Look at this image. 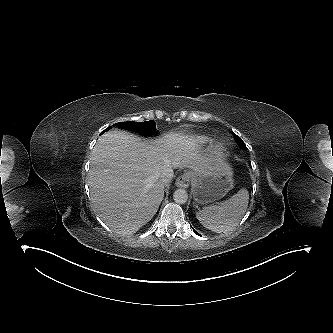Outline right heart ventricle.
Masks as SVG:
<instances>
[{
  "label": "right heart ventricle",
  "mask_w": 333,
  "mask_h": 333,
  "mask_svg": "<svg viewBox=\"0 0 333 333\" xmlns=\"http://www.w3.org/2000/svg\"><path fill=\"white\" fill-rule=\"evenodd\" d=\"M210 142V138L207 136L199 135L192 138V143L197 148H203L205 145H207Z\"/></svg>",
  "instance_id": "e07e8e85"
}]
</instances>
